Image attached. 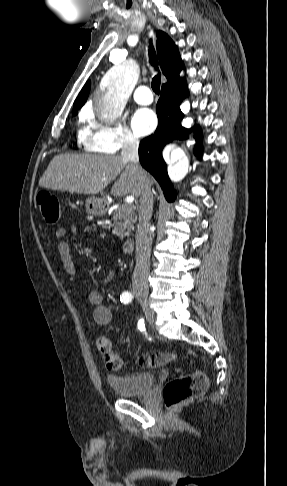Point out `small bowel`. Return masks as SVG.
I'll use <instances>...</instances> for the list:
<instances>
[{
    "mask_svg": "<svg viewBox=\"0 0 287 486\" xmlns=\"http://www.w3.org/2000/svg\"><path fill=\"white\" fill-rule=\"evenodd\" d=\"M77 228L73 226L70 232H76ZM68 231L64 228H59L55 231V238L59 241L57 249L63 264L65 271L69 274L70 278L76 282L80 283V277L75 268L74 262L72 260L71 249L69 243L65 240ZM113 278V273L110 272L104 276L101 280L102 284H108ZM89 301L95 306L93 311L94 321L101 326L108 325L112 320L111 310L103 304V297L98 291H89L88 294Z\"/></svg>",
    "mask_w": 287,
    "mask_h": 486,
    "instance_id": "obj_1",
    "label": "small bowel"
}]
</instances>
